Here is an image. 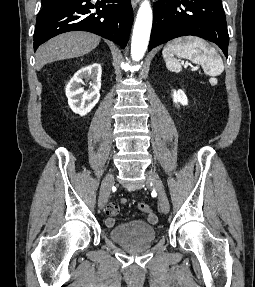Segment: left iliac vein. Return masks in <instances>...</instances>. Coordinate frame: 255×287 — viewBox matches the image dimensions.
<instances>
[{
  "label": "left iliac vein",
  "instance_id": "left-iliac-vein-1",
  "mask_svg": "<svg viewBox=\"0 0 255 287\" xmlns=\"http://www.w3.org/2000/svg\"><path fill=\"white\" fill-rule=\"evenodd\" d=\"M146 176L147 183L153 185V187L157 191L161 211L164 214H167L170 209L169 200L159 175L154 170H147Z\"/></svg>",
  "mask_w": 255,
  "mask_h": 287
}]
</instances>
